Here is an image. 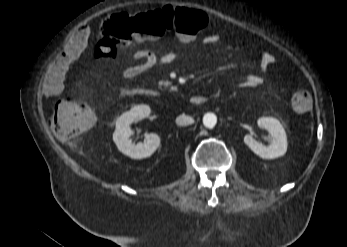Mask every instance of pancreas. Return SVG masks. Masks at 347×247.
Segmentation results:
<instances>
[{"instance_id":"cf45deb5","label":"pancreas","mask_w":347,"mask_h":247,"mask_svg":"<svg viewBox=\"0 0 347 247\" xmlns=\"http://www.w3.org/2000/svg\"><path fill=\"white\" fill-rule=\"evenodd\" d=\"M162 86L167 87V84H166L165 82H162V81H161V82L159 83V87L162 88Z\"/></svg>"}]
</instances>
